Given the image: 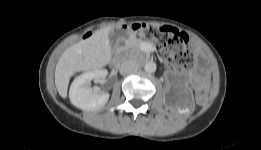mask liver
I'll use <instances>...</instances> for the list:
<instances>
[{
    "instance_id": "liver-1",
    "label": "liver",
    "mask_w": 261,
    "mask_h": 150,
    "mask_svg": "<svg viewBox=\"0 0 261 150\" xmlns=\"http://www.w3.org/2000/svg\"><path fill=\"white\" fill-rule=\"evenodd\" d=\"M113 26L99 29L87 39L70 46L59 58L55 69V85L62 98L67 97L71 76L79 71L101 68L111 60L109 34Z\"/></svg>"
}]
</instances>
